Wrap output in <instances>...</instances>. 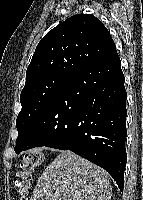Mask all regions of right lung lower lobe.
<instances>
[{"instance_id":"obj_1","label":"right lung lower lobe","mask_w":143,"mask_h":200,"mask_svg":"<svg viewBox=\"0 0 143 200\" xmlns=\"http://www.w3.org/2000/svg\"><path fill=\"white\" fill-rule=\"evenodd\" d=\"M124 80L116 50L71 75L33 124L19 153L41 146L71 150L104 168L123 191Z\"/></svg>"}]
</instances>
